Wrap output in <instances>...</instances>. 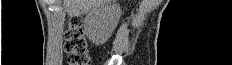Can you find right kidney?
<instances>
[{"instance_id":"1","label":"right kidney","mask_w":232,"mask_h":65,"mask_svg":"<svg viewBox=\"0 0 232 65\" xmlns=\"http://www.w3.org/2000/svg\"><path fill=\"white\" fill-rule=\"evenodd\" d=\"M121 16V8L115 3H104L92 8L85 17L84 31L95 44H104L117 27Z\"/></svg>"}]
</instances>
